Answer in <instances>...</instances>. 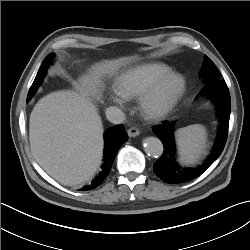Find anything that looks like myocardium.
Instances as JSON below:
<instances>
[{
  "instance_id": "f54148a6",
  "label": "myocardium",
  "mask_w": 250,
  "mask_h": 250,
  "mask_svg": "<svg viewBox=\"0 0 250 250\" xmlns=\"http://www.w3.org/2000/svg\"><path fill=\"white\" fill-rule=\"evenodd\" d=\"M170 91L163 96L165 88ZM186 89V79L180 73L171 72L155 81L141 96L139 107L149 121H158L166 117L176 106Z\"/></svg>"
}]
</instances>
